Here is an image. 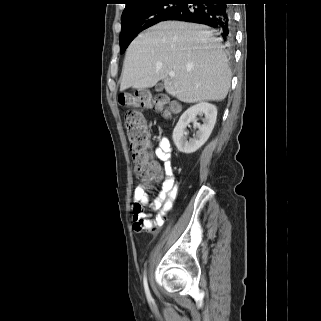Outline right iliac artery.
I'll use <instances>...</instances> for the list:
<instances>
[{"label":"right iliac artery","instance_id":"obj_1","mask_svg":"<svg viewBox=\"0 0 321 321\" xmlns=\"http://www.w3.org/2000/svg\"><path fill=\"white\" fill-rule=\"evenodd\" d=\"M143 284H144V289H145V293H146L147 299L150 301L152 298H151L150 290H149V287H148L146 272H144Z\"/></svg>","mask_w":321,"mask_h":321}]
</instances>
